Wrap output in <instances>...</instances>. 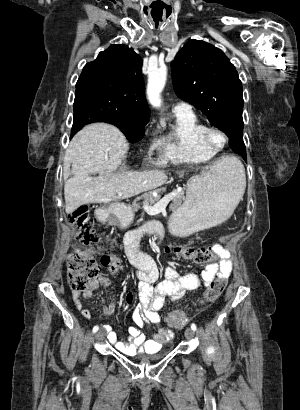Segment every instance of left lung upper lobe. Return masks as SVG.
<instances>
[{"label": "left lung upper lobe", "mask_w": 300, "mask_h": 410, "mask_svg": "<svg viewBox=\"0 0 300 410\" xmlns=\"http://www.w3.org/2000/svg\"><path fill=\"white\" fill-rule=\"evenodd\" d=\"M176 94L201 110L227 134L230 148L246 158L243 142V91L226 55L204 41L190 40L171 63Z\"/></svg>", "instance_id": "obj_1"}]
</instances>
